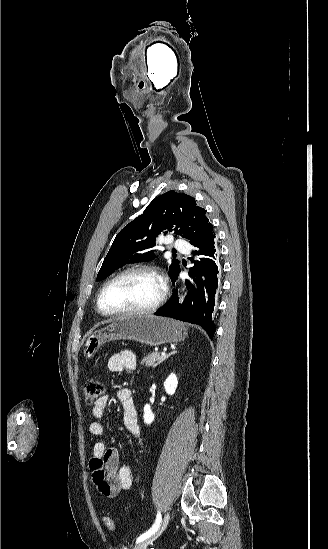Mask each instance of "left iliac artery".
<instances>
[{
	"instance_id": "obj_1",
	"label": "left iliac artery",
	"mask_w": 328,
	"mask_h": 549,
	"mask_svg": "<svg viewBox=\"0 0 328 549\" xmlns=\"http://www.w3.org/2000/svg\"><path fill=\"white\" fill-rule=\"evenodd\" d=\"M160 522H161V513L158 512L157 513V518H156V521L155 523L153 524V526L148 530L146 531L145 533H143L142 535H140L137 540H136V543H139L141 541H143L144 539L148 538L149 536H151L153 533H155V531L158 529L159 525H160Z\"/></svg>"
}]
</instances>
